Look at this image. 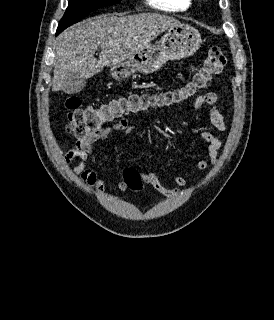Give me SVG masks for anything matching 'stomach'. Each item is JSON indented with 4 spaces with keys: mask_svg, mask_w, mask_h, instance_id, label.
Returning <instances> with one entry per match:
<instances>
[{
    "mask_svg": "<svg viewBox=\"0 0 274 320\" xmlns=\"http://www.w3.org/2000/svg\"><path fill=\"white\" fill-rule=\"evenodd\" d=\"M202 38L196 28L188 24H178L174 28H169L165 36H162L158 46H149L144 50H139L129 58L126 64H114L112 76L115 80H120V76L140 72V74H153L160 70L168 60H184L193 56L201 48ZM128 68V70H119Z\"/></svg>",
    "mask_w": 274,
    "mask_h": 320,
    "instance_id": "obj_1",
    "label": "stomach"
}]
</instances>
